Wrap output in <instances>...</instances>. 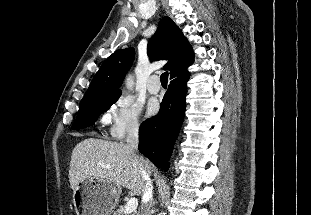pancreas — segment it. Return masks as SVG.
<instances>
[{
  "label": "pancreas",
  "mask_w": 311,
  "mask_h": 215,
  "mask_svg": "<svg viewBox=\"0 0 311 215\" xmlns=\"http://www.w3.org/2000/svg\"><path fill=\"white\" fill-rule=\"evenodd\" d=\"M129 214H125V208L123 206H119V208L116 209V211L114 212V215H129ZM131 215H135V214H131Z\"/></svg>",
  "instance_id": "obj_1"
}]
</instances>
